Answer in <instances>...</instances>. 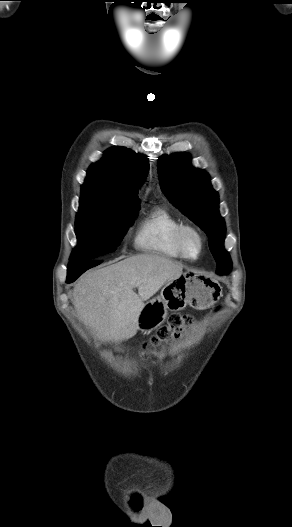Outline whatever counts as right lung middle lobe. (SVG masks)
I'll return each instance as SVG.
<instances>
[{"label":"right lung middle lobe","mask_w":292,"mask_h":527,"mask_svg":"<svg viewBox=\"0 0 292 527\" xmlns=\"http://www.w3.org/2000/svg\"><path fill=\"white\" fill-rule=\"evenodd\" d=\"M139 202L117 203L94 194H82L76 216L78 246L71 262L90 260L113 252L131 225Z\"/></svg>","instance_id":"right-lung-middle-lobe-1"}]
</instances>
